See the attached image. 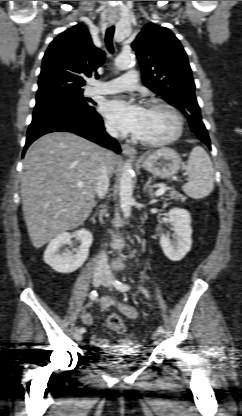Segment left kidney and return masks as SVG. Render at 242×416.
Wrapping results in <instances>:
<instances>
[{"label": "left kidney", "instance_id": "left-kidney-1", "mask_svg": "<svg viewBox=\"0 0 242 416\" xmlns=\"http://www.w3.org/2000/svg\"><path fill=\"white\" fill-rule=\"evenodd\" d=\"M169 220L174 230V240L169 236L160 237V245L164 254L172 261H180L191 249L192 228L190 213L181 208H173L169 211Z\"/></svg>", "mask_w": 242, "mask_h": 416}]
</instances>
